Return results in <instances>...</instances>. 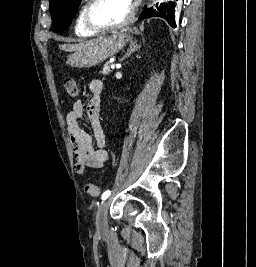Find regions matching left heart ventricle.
<instances>
[{
	"mask_svg": "<svg viewBox=\"0 0 256 267\" xmlns=\"http://www.w3.org/2000/svg\"><path fill=\"white\" fill-rule=\"evenodd\" d=\"M132 9L121 1L103 0L98 2L91 12L92 18L99 25H115L128 22Z\"/></svg>",
	"mask_w": 256,
	"mask_h": 267,
	"instance_id": "1",
	"label": "left heart ventricle"
}]
</instances>
